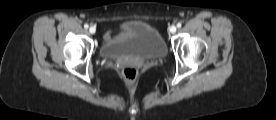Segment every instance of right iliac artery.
Masks as SVG:
<instances>
[{
	"mask_svg": "<svg viewBox=\"0 0 276 120\" xmlns=\"http://www.w3.org/2000/svg\"><path fill=\"white\" fill-rule=\"evenodd\" d=\"M88 27H89L88 24H85V25H84V28H85V29H88Z\"/></svg>",
	"mask_w": 276,
	"mask_h": 120,
	"instance_id": "82829eb1",
	"label": "right iliac artery"
}]
</instances>
